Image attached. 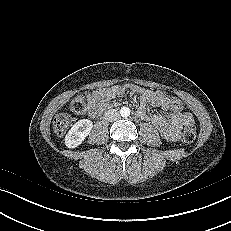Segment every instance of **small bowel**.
<instances>
[{
    "label": "small bowel",
    "mask_w": 231,
    "mask_h": 231,
    "mask_svg": "<svg viewBox=\"0 0 231 231\" xmlns=\"http://www.w3.org/2000/svg\"><path fill=\"white\" fill-rule=\"evenodd\" d=\"M128 90L141 96L140 105L136 112L137 116L156 126L163 138L176 141L180 138V129L183 126L194 124L192 114L174 109L170 104V98L164 92L149 90L132 84L115 85L104 90L88 92L86 94L88 115L90 117L97 116L108 106L106 101L121 96ZM152 108H162L169 113L167 117L150 114L149 110Z\"/></svg>",
    "instance_id": "c3829d8e"
}]
</instances>
